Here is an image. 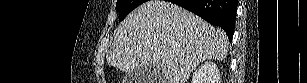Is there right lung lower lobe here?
Instances as JSON below:
<instances>
[{
	"mask_svg": "<svg viewBox=\"0 0 307 83\" xmlns=\"http://www.w3.org/2000/svg\"><path fill=\"white\" fill-rule=\"evenodd\" d=\"M171 3L194 12L213 26H220L232 40L237 0H171Z\"/></svg>",
	"mask_w": 307,
	"mask_h": 83,
	"instance_id": "right-lung-lower-lobe-1",
	"label": "right lung lower lobe"
}]
</instances>
